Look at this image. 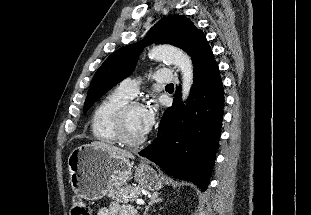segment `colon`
<instances>
[{
	"label": "colon",
	"mask_w": 311,
	"mask_h": 215,
	"mask_svg": "<svg viewBox=\"0 0 311 215\" xmlns=\"http://www.w3.org/2000/svg\"><path fill=\"white\" fill-rule=\"evenodd\" d=\"M71 215H90L89 205L81 198H74L71 206Z\"/></svg>",
	"instance_id": "5ec220e1"
}]
</instances>
